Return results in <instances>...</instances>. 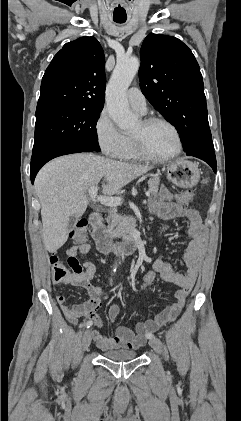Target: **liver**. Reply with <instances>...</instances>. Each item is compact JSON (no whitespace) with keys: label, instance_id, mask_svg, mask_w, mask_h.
<instances>
[{"label":"liver","instance_id":"obj_1","mask_svg":"<svg viewBox=\"0 0 241 421\" xmlns=\"http://www.w3.org/2000/svg\"><path fill=\"white\" fill-rule=\"evenodd\" d=\"M151 166L125 163L103 156L80 153L56 158L37 174L35 190L41 204L43 243L56 252L68 238L71 216L80 217L87 209V191L102 181V192L111 196Z\"/></svg>","mask_w":241,"mask_h":421}]
</instances>
